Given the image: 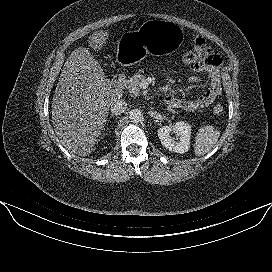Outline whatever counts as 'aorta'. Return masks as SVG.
<instances>
[{"instance_id": "762f6f07", "label": "aorta", "mask_w": 272, "mask_h": 272, "mask_svg": "<svg viewBox=\"0 0 272 272\" xmlns=\"http://www.w3.org/2000/svg\"><path fill=\"white\" fill-rule=\"evenodd\" d=\"M129 119L133 123H140L143 121L144 117L142 112L139 109H133L129 113Z\"/></svg>"}]
</instances>
